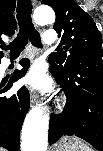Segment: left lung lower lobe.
Masks as SVG:
<instances>
[{
	"label": "left lung lower lobe",
	"instance_id": "left-lung-lower-lobe-1",
	"mask_svg": "<svg viewBox=\"0 0 103 151\" xmlns=\"http://www.w3.org/2000/svg\"><path fill=\"white\" fill-rule=\"evenodd\" d=\"M67 102L61 114H52L49 143L76 135L103 151V55L82 58L68 72L50 68Z\"/></svg>",
	"mask_w": 103,
	"mask_h": 151
}]
</instances>
